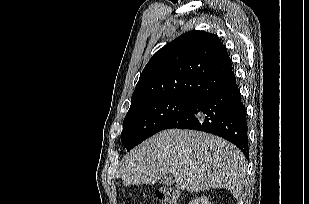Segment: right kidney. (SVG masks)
Wrapping results in <instances>:
<instances>
[{
  "instance_id": "1",
  "label": "right kidney",
  "mask_w": 309,
  "mask_h": 204,
  "mask_svg": "<svg viewBox=\"0 0 309 204\" xmlns=\"http://www.w3.org/2000/svg\"><path fill=\"white\" fill-rule=\"evenodd\" d=\"M189 204H211V202L209 201L208 198L201 196L200 198L192 200L191 202H189Z\"/></svg>"
}]
</instances>
